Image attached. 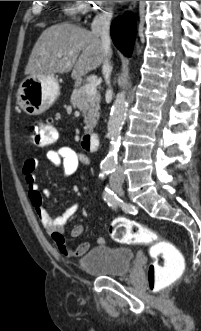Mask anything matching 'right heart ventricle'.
Returning a JSON list of instances; mask_svg holds the SVG:
<instances>
[{
  "label": "right heart ventricle",
  "instance_id": "e07e8e85",
  "mask_svg": "<svg viewBox=\"0 0 201 331\" xmlns=\"http://www.w3.org/2000/svg\"><path fill=\"white\" fill-rule=\"evenodd\" d=\"M65 11L69 16L76 19L78 13L81 11V6L78 1H70L66 3Z\"/></svg>",
  "mask_w": 201,
  "mask_h": 331
}]
</instances>
